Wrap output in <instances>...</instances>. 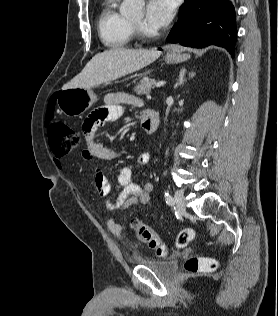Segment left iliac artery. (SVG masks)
I'll use <instances>...</instances> for the list:
<instances>
[{
  "instance_id": "1",
  "label": "left iliac artery",
  "mask_w": 278,
  "mask_h": 316,
  "mask_svg": "<svg viewBox=\"0 0 278 316\" xmlns=\"http://www.w3.org/2000/svg\"><path fill=\"white\" fill-rule=\"evenodd\" d=\"M164 197H165L166 203H167L168 205H170V206H173V205H174V199H173V197L169 194L168 191H165Z\"/></svg>"
}]
</instances>
